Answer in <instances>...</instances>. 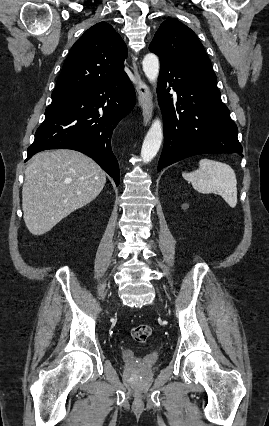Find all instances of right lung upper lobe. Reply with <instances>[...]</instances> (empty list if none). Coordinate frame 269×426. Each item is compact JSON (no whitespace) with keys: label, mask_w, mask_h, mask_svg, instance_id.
Instances as JSON below:
<instances>
[{"label":"right lung upper lobe","mask_w":269,"mask_h":426,"mask_svg":"<svg viewBox=\"0 0 269 426\" xmlns=\"http://www.w3.org/2000/svg\"><path fill=\"white\" fill-rule=\"evenodd\" d=\"M126 57L120 35L110 24L97 23L72 46L53 92H73L122 78Z\"/></svg>","instance_id":"1"}]
</instances>
